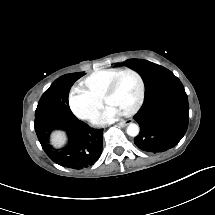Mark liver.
Instances as JSON below:
<instances>
[{
  "label": "liver",
  "mask_w": 215,
  "mask_h": 215,
  "mask_svg": "<svg viewBox=\"0 0 215 215\" xmlns=\"http://www.w3.org/2000/svg\"><path fill=\"white\" fill-rule=\"evenodd\" d=\"M66 142V134L62 131H55L51 134V143L54 147L60 148Z\"/></svg>",
  "instance_id": "1"
}]
</instances>
